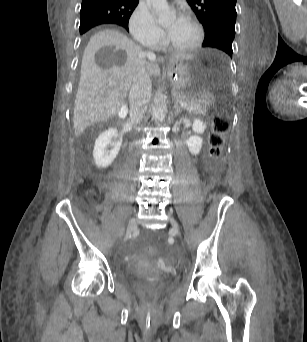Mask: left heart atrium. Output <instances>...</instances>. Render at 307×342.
Listing matches in <instances>:
<instances>
[{
    "label": "left heart atrium",
    "mask_w": 307,
    "mask_h": 342,
    "mask_svg": "<svg viewBox=\"0 0 307 342\" xmlns=\"http://www.w3.org/2000/svg\"><path fill=\"white\" fill-rule=\"evenodd\" d=\"M182 22L183 21L181 19H179V20H176L175 22H173L169 26V28L166 30V38H167V40L175 36V34L179 30Z\"/></svg>",
    "instance_id": "obj_1"
}]
</instances>
